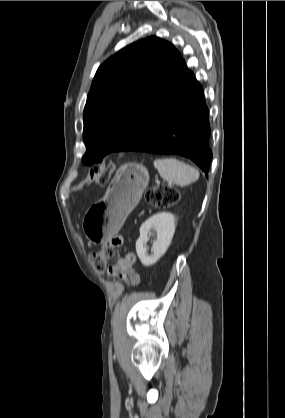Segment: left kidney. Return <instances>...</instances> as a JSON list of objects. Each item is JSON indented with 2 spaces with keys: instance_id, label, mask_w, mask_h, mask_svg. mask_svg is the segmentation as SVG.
<instances>
[{
  "instance_id": "left-kidney-1",
  "label": "left kidney",
  "mask_w": 285,
  "mask_h": 418,
  "mask_svg": "<svg viewBox=\"0 0 285 418\" xmlns=\"http://www.w3.org/2000/svg\"><path fill=\"white\" fill-rule=\"evenodd\" d=\"M140 236L136 241V252L144 266L155 264L167 251L174 232L175 216L169 212L157 213L149 217L140 227ZM156 232V240L153 242L151 254H148L147 242L150 235Z\"/></svg>"
}]
</instances>
